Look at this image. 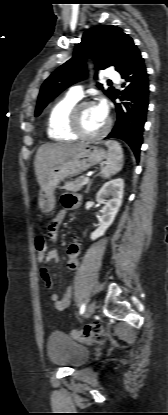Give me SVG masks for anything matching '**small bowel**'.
<instances>
[{
  "instance_id": "c3829d8e",
  "label": "small bowel",
  "mask_w": 168,
  "mask_h": 415,
  "mask_svg": "<svg viewBox=\"0 0 168 415\" xmlns=\"http://www.w3.org/2000/svg\"><path fill=\"white\" fill-rule=\"evenodd\" d=\"M80 197L75 194H64L61 198L63 205V210H61L57 216L50 222L48 226V236L51 240H55L60 224L62 223L66 212L68 210L75 209L80 204ZM80 243L77 239H74L68 246L67 255L68 261L67 266L71 270H75L79 266V255H80ZM59 260L58 250L55 247H52L47 251V269L45 271H40V276L44 282V285L47 289L53 288V280L49 274L48 265L51 263H56ZM73 296L72 287H67L64 294L60 297L56 293H52L50 298L54 303V306L57 310L63 311L67 309L71 302Z\"/></svg>"
}]
</instances>
